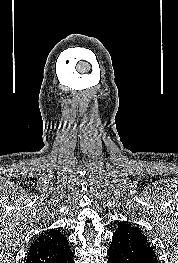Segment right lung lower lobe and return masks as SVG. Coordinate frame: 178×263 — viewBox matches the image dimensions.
Masks as SVG:
<instances>
[{
  "label": "right lung lower lobe",
  "instance_id": "right-lung-lower-lobe-1",
  "mask_svg": "<svg viewBox=\"0 0 178 263\" xmlns=\"http://www.w3.org/2000/svg\"><path fill=\"white\" fill-rule=\"evenodd\" d=\"M74 254L70 250L69 252L63 254L56 260H54L52 263H74L73 261Z\"/></svg>",
  "mask_w": 178,
  "mask_h": 263
}]
</instances>
